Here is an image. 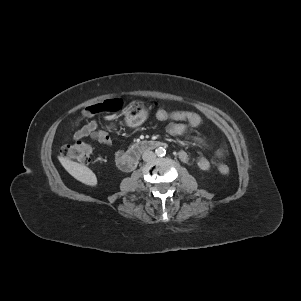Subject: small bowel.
<instances>
[{
    "mask_svg": "<svg viewBox=\"0 0 301 301\" xmlns=\"http://www.w3.org/2000/svg\"><path fill=\"white\" fill-rule=\"evenodd\" d=\"M187 112V111H186ZM156 116L161 121H167V132L172 136H183L186 135L189 138H191L194 142H196L199 145L206 146L207 142L205 139L196 136V135H190L187 133L188 126H192L189 122H184L182 119H178L172 116V112H168L164 109H162L161 112L156 113ZM79 122H77L73 127V132L70 135V137L73 140H80L85 137H91L93 140L97 141L98 143L104 145V146H111L112 145V139L109 135V133L106 130L100 129L98 126V122L96 120H91L84 126L78 128ZM194 127V126H193ZM224 148L220 147L215 151L214 158L215 160L220 159L224 156ZM125 152L123 150L117 151L114 156V162L115 164L120 168V162L123 158ZM179 158L181 161L188 163L190 161L189 155L186 151L181 150L179 152ZM197 167L202 171H208L211 168V162L206 159L205 157H198L196 160Z\"/></svg>",
    "mask_w": 301,
    "mask_h": 301,
    "instance_id": "c3829d8e",
    "label": "small bowel"
}]
</instances>
